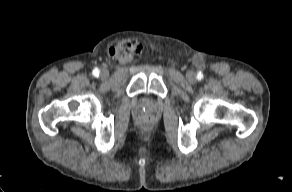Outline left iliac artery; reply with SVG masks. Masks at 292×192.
Returning <instances> with one entry per match:
<instances>
[{
  "instance_id": "1",
  "label": "left iliac artery",
  "mask_w": 292,
  "mask_h": 192,
  "mask_svg": "<svg viewBox=\"0 0 292 192\" xmlns=\"http://www.w3.org/2000/svg\"><path fill=\"white\" fill-rule=\"evenodd\" d=\"M202 78H203V74H202L201 72H200V73H198V74H197V79H199V80H200V79H202Z\"/></svg>"
}]
</instances>
